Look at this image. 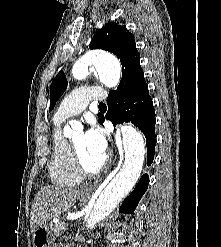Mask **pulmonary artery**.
Listing matches in <instances>:
<instances>
[{
  "mask_svg": "<svg viewBox=\"0 0 221 247\" xmlns=\"http://www.w3.org/2000/svg\"><path fill=\"white\" fill-rule=\"evenodd\" d=\"M107 92L99 88L80 87L69 93L55 113V121L63 122L81 113L92 100H103Z\"/></svg>",
  "mask_w": 221,
  "mask_h": 247,
  "instance_id": "pulmonary-artery-1",
  "label": "pulmonary artery"
}]
</instances>
